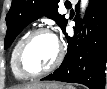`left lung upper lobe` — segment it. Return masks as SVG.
Segmentation results:
<instances>
[{"label": "left lung upper lobe", "instance_id": "1", "mask_svg": "<svg viewBox=\"0 0 107 89\" xmlns=\"http://www.w3.org/2000/svg\"><path fill=\"white\" fill-rule=\"evenodd\" d=\"M58 2L59 0H12L11 8L6 16L5 49L29 23L43 15L55 20L63 30L67 19L58 13Z\"/></svg>", "mask_w": 107, "mask_h": 89}]
</instances>
